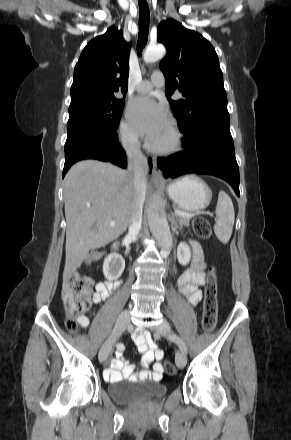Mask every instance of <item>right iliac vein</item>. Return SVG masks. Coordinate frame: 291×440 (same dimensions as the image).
<instances>
[{"mask_svg": "<svg viewBox=\"0 0 291 440\" xmlns=\"http://www.w3.org/2000/svg\"><path fill=\"white\" fill-rule=\"evenodd\" d=\"M128 323L129 312L126 310L119 315L111 337L102 345L98 355L100 362H104L107 359L115 342L116 336L127 327Z\"/></svg>", "mask_w": 291, "mask_h": 440, "instance_id": "63e3f726", "label": "right iliac vein"}]
</instances>
